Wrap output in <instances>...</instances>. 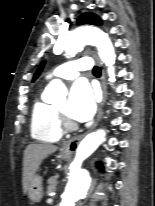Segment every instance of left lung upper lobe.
Listing matches in <instances>:
<instances>
[{
    "mask_svg": "<svg viewBox=\"0 0 155 206\" xmlns=\"http://www.w3.org/2000/svg\"><path fill=\"white\" fill-rule=\"evenodd\" d=\"M78 24H93V25H98L101 24V20L94 14L92 13H84L78 18ZM45 61H43L40 66L38 67L34 77L33 81H35L38 76L40 75L43 67H44Z\"/></svg>",
    "mask_w": 155,
    "mask_h": 206,
    "instance_id": "left-lung-upper-lobe-1",
    "label": "left lung upper lobe"
}]
</instances>
